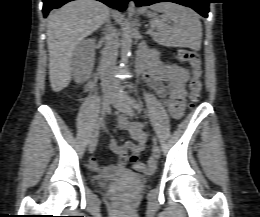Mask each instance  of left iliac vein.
<instances>
[{
    "mask_svg": "<svg viewBox=\"0 0 260 217\" xmlns=\"http://www.w3.org/2000/svg\"><path fill=\"white\" fill-rule=\"evenodd\" d=\"M114 107L119 111L126 113L127 115L133 116L134 110L128 97H114L112 101ZM152 157L158 159L160 157V148L156 144L152 148Z\"/></svg>",
    "mask_w": 260,
    "mask_h": 217,
    "instance_id": "1",
    "label": "left iliac vein"
}]
</instances>
